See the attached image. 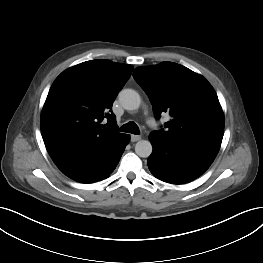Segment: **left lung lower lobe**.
Masks as SVG:
<instances>
[{"label":"left lung lower lobe","mask_w":263,"mask_h":263,"mask_svg":"<svg viewBox=\"0 0 263 263\" xmlns=\"http://www.w3.org/2000/svg\"><path fill=\"white\" fill-rule=\"evenodd\" d=\"M153 152L150 172L158 179L183 184L201 176L214 161L220 146L191 138H171L153 131L149 135Z\"/></svg>","instance_id":"1"}]
</instances>
